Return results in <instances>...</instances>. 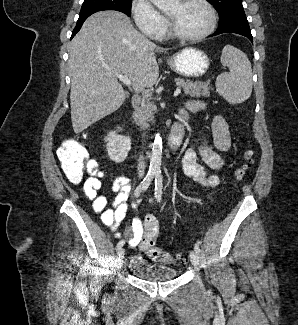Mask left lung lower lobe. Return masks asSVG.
<instances>
[{"label": "left lung lower lobe", "instance_id": "obj_1", "mask_svg": "<svg viewBox=\"0 0 298 325\" xmlns=\"http://www.w3.org/2000/svg\"><path fill=\"white\" fill-rule=\"evenodd\" d=\"M237 33L247 37L251 42H253V37L249 28V24L245 13L235 15L223 23H219L217 30L211 36H216L222 33Z\"/></svg>", "mask_w": 298, "mask_h": 325}]
</instances>
